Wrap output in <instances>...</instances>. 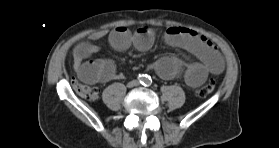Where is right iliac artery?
<instances>
[{
    "label": "right iliac artery",
    "instance_id": "82829eb1",
    "mask_svg": "<svg viewBox=\"0 0 279 148\" xmlns=\"http://www.w3.org/2000/svg\"><path fill=\"white\" fill-rule=\"evenodd\" d=\"M138 80L140 81V83H145L146 82V75L144 74H139L138 75Z\"/></svg>",
    "mask_w": 279,
    "mask_h": 148
}]
</instances>
